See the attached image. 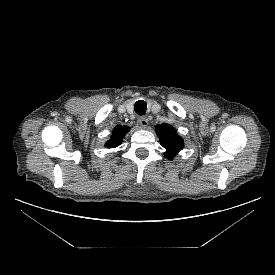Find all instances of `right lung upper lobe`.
Returning <instances> with one entry per match:
<instances>
[{"instance_id": "right-lung-upper-lobe-1", "label": "right lung upper lobe", "mask_w": 275, "mask_h": 275, "mask_svg": "<svg viewBox=\"0 0 275 275\" xmlns=\"http://www.w3.org/2000/svg\"><path fill=\"white\" fill-rule=\"evenodd\" d=\"M130 130L127 126H116L113 130L111 139L106 143V146L109 148H115L122 143L123 137Z\"/></svg>"}]
</instances>
